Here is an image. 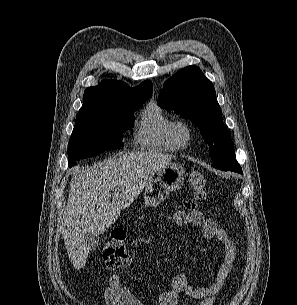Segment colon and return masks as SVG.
Returning a JSON list of instances; mask_svg holds the SVG:
<instances>
[{"instance_id":"5ec220e1","label":"colon","mask_w":297,"mask_h":305,"mask_svg":"<svg viewBox=\"0 0 297 305\" xmlns=\"http://www.w3.org/2000/svg\"><path fill=\"white\" fill-rule=\"evenodd\" d=\"M189 182L193 190L192 199L186 204L194 209L206 200V180L204 172L195 168L189 175ZM102 259L107 268L118 269L127 264L129 255L126 247V238L123 232H113L108 237L102 252Z\"/></svg>"}]
</instances>
